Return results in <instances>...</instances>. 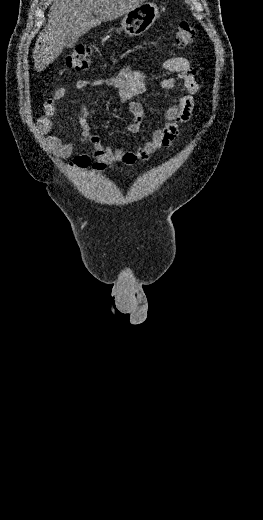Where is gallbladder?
I'll return each instance as SVG.
<instances>
[{
	"label": "gallbladder",
	"mask_w": 263,
	"mask_h": 520,
	"mask_svg": "<svg viewBox=\"0 0 263 520\" xmlns=\"http://www.w3.org/2000/svg\"><path fill=\"white\" fill-rule=\"evenodd\" d=\"M66 39H67V46L66 47L73 48L74 45H75L74 40L72 38H70V37H67Z\"/></svg>",
	"instance_id": "bac80fb5"
}]
</instances>
